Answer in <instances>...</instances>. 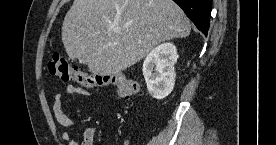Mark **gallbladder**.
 Returning <instances> with one entry per match:
<instances>
[{
  "mask_svg": "<svg viewBox=\"0 0 276 145\" xmlns=\"http://www.w3.org/2000/svg\"><path fill=\"white\" fill-rule=\"evenodd\" d=\"M79 63L86 64V62L82 58H79Z\"/></svg>",
  "mask_w": 276,
  "mask_h": 145,
  "instance_id": "gallbladder-1",
  "label": "gallbladder"
}]
</instances>
